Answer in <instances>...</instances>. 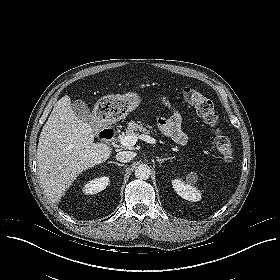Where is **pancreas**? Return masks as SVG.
Segmentation results:
<instances>
[{"mask_svg": "<svg viewBox=\"0 0 280 280\" xmlns=\"http://www.w3.org/2000/svg\"><path fill=\"white\" fill-rule=\"evenodd\" d=\"M151 126H144L141 122L130 121L127 125V130L124 133L125 135H139V132L148 134L151 131ZM123 134V135H124Z\"/></svg>", "mask_w": 280, "mask_h": 280, "instance_id": "1", "label": "pancreas"}]
</instances>
